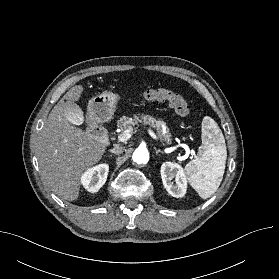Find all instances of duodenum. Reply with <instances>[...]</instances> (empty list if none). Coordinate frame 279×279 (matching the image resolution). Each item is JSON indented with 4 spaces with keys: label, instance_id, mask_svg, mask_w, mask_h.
<instances>
[{
    "label": "duodenum",
    "instance_id": "obj_1",
    "mask_svg": "<svg viewBox=\"0 0 279 279\" xmlns=\"http://www.w3.org/2000/svg\"><path fill=\"white\" fill-rule=\"evenodd\" d=\"M94 134L100 139L102 140L104 143H109V135L106 131V129L104 128H97L94 130Z\"/></svg>",
    "mask_w": 279,
    "mask_h": 279
}]
</instances>
